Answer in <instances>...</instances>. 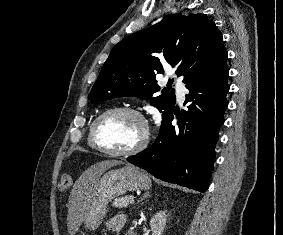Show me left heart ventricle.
I'll return each mask as SVG.
<instances>
[{
  "label": "left heart ventricle",
  "instance_id": "left-heart-ventricle-1",
  "mask_svg": "<svg viewBox=\"0 0 283 235\" xmlns=\"http://www.w3.org/2000/svg\"><path fill=\"white\" fill-rule=\"evenodd\" d=\"M143 134V125L132 114L116 113L109 115L99 124V143L114 151L127 150L135 146Z\"/></svg>",
  "mask_w": 283,
  "mask_h": 235
}]
</instances>
